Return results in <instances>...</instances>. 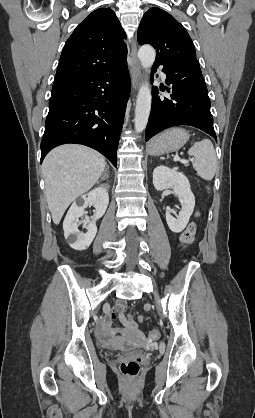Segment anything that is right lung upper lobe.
<instances>
[{
	"mask_svg": "<svg viewBox=\"0 0 255 418\" xmlns=\"http://www.w3.org/2000/svg\"><path fill=\"white\" fill-rule=\"evenodd\" d=\"M126 37L111 8H99L66 41L54 80L110 71L126 64Z\"/></svg>",
	"mask_w": 255,
	"mask_h": 418,
	"instance_id": "1",
	"label": "right lung upper lobe"
}]
</instances>
